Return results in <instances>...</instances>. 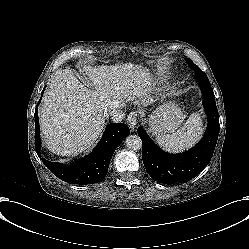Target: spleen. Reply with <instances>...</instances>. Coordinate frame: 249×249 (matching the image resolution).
Wrapping results in <instances>:
<instances>
[{
	"label": "spleen",
	"mask_w": 249,
	"mask_h": 249,
	"mask_svg": "<svg viewBox=\"0 0 249 249\" xmlns=\"http://www.w3.org/2000/svg\"><path fill=\"white\" fill-rule=\"evenodd\" d=\"M203 121L199 113L189 116L186 123L177 132L162 134L156 137V142L165 151L179 153L190 149L201 138Z\"/></svg>",
	"instance_id": "spleen-1"
}]
</instances>
